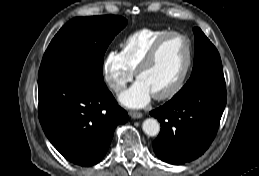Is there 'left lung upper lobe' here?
Listing matches in <instances>:
<instances>
[{
	"instance_id": "1",
	"label": "left lung upper lobe",
	"mask_w": 259,
	"mask_h": 176,
	"mask_svg": "<svg viewBox=\"0 0 259 176\" xmlns=\"http://www.w3.org/2000/svg\"><path fill=\"white\" fill-rule=\"evenodd\" d=\"M193 32L195 36V58L192 74L175 96L202 86L226 87L221 58L217 49L200 28H193Z\"/></svg>"
}]
</instances>
